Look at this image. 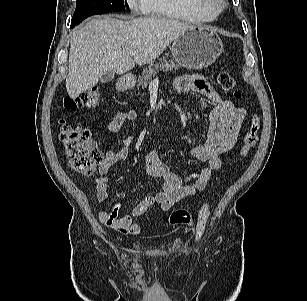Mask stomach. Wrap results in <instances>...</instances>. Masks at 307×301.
<instances>
[{"mask_svg": "<svg viewBox=\"0 0 307 301\" xmlns=\"http://www.w3.org/2000/svg\"><path fill=\"white\" fill-rule=\"evenodd\" d=\"M224 51L219 36L207 27L193 26L179 34L171 47L173 58L185 68L200 70L210 66ZM117 89H126L120 81Z\"/></svg>", "mask_w": 307, "mask_h": 301, "instance_id": "1", "label": "stomach"}]
</instances>
